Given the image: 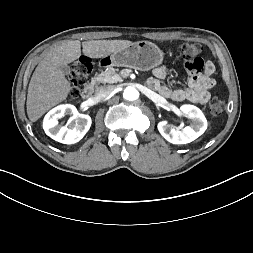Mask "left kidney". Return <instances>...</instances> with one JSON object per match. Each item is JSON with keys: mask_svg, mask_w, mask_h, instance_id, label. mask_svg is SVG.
<instances>
[{"mask_svg": "<svg viewBox=\"0 0 253 253\" xmlns=\"http://www.w3.org/2000/svg\"><path fill=\"white\" fill-rule=\"evenodd\" d=\"M181 113L190 118V126H186L182 131L172 128L167 121H161L157 127L160 134L172 144H187L199 136L207 129V120L203 112L194 105H182Z\"/></svg>", "mask_w": 253, "mask_h": 253, "instance_id": "5707ae66", "label": "left kidney"}]
</instances>
